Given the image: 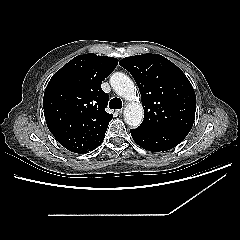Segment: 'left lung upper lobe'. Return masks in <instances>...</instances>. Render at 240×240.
Segmentation results:
<instances>
[{
	"label": "left lung upper lobe",
	"instance_id": "left-lung-upper-lobe-1",
	"mask_svg": "<svg viewBox=\"0 0 240 240\" xmlns=\"http://www.w3.org/2000/svg\"><path fill=\"white\" fill-rule=\"evenodd\" d=\"M119 64L135 79L142 98L146 129L191 130L196 95L186 75L158 54L123 58Z\"/></svg>",
	"mask_w": 240,
	"mask_h": 240
}]
</instances>
